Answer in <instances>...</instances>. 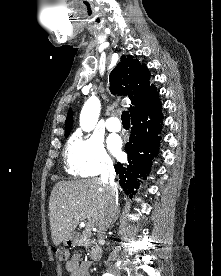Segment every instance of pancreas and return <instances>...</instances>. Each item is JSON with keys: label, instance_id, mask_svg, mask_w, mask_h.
Returning a JSON list of instances; mask_svg holds the SVG:
<instances>
[{"label": "pancreas", "instance_id": "cf45deb5", "mask_svg": "<svg viewBox=\"0 0 221 276\" xmlns=\"http://www.w3.org/2000/svg\"><path fill=\"white\" fill-rule=\"evenodd\" d=\"M93 244H95V238L93 237V234H92L90 228L87 227L82 232V234H81V236H80V238L78 240V246L89 247V246H91Z\"/></svg>", "mask_w": 221, "mask_h": 276}]
</instances>
